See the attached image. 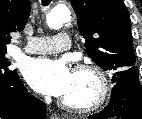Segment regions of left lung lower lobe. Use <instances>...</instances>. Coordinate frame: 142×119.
I'll return each instance as SVG.
<instances>
[{"mask_svg": "<svg viewBox=\"0 0 142 119\" xmlns=\"http://www.w3.org/2000/svg\"><path fill=\"white\" fill-rule=\"evenodd\" d=\"M109 105L89 119H141L142 87L136 78L116 83L112 89Z\"/></svg>", "mask_w": 142, "mask_h": 119, "instance_id": "0a47b994", "label": "left lung lower lobe"}]
</instances>
